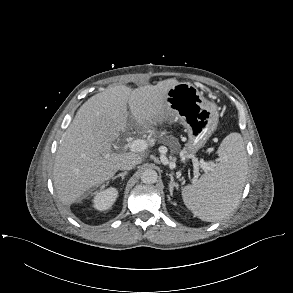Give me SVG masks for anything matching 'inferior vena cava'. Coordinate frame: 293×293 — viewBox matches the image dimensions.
Listing matches in <instances>:
<instances>
[{
  "label": "inferior vena cava",
  "mask_w": 293,
  "mask_h": 293,
  "mask_svg": "<svg viewBox=\"0 0 293 293\" xmlns=\"http://www.w3.org/2000/svg\"><path fill=\"white\" fill-rule=\"evenodd\" d=\"M136 162L132 160L131 158H125L121 164H120V169L121 170H131L135 167Z\"/></svg>",
  "instance_id": "inferior-vena-cava-1"
}]
</instances>
